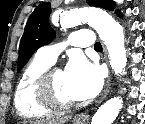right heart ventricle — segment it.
<instances>
[{
    "label": "right heart ventricle",
    "instance_id": "1",
    "mask_svg": "<svg viewBox=\"0 0 145 124\" xmlns=\"http://www.w3.org/2000/svg\"><path fill=\"white\" fill-rule=\"evenodd\" d=\"M51 65L37 55L22 72L14 94V104L21 117L42 118L51 115L52 110L43 106L36 94L39 77Z\"/></svg>",
    "mask_w": 145,
    "mask_h": 124
}]
</instances>
